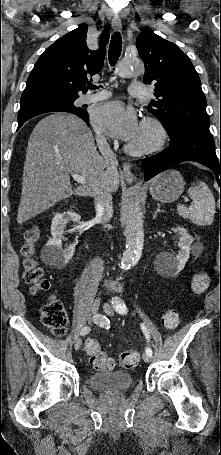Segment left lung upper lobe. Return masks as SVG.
Segmentation results:
<instances>
[{
	"mask_svg": "<svg viewBox=\"0 0 221 455\" xmlns=\"http://www.w3.org/2000/svg\"><path fill=\"white\" fill-rule=\"evenodd\" d=\"M136 47L145 64L143 81L155 85L157 101L148 105V111L161 121L170 139L188 128L209 131L206 98L189 57L149 30L138 35Z\"/></svg>",
	"mask_w": 221,
	"mask_h": 455,
	"instance_id": "1",
	"label": "left lung upper lobe"
}]
</instances>
